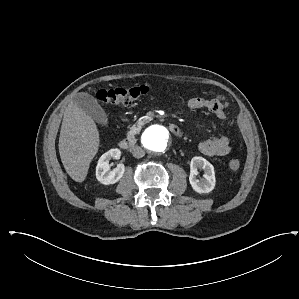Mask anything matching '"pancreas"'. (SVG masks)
Here are the masks:
<instances>
[{"label":"pancreas","mask_w":299,"mask_h":299,"mask_svg":"<svg viewBox=\"0 0 299 299\" xmlns=\"http://www.w3.org/2000/svg\"><path fill=\"white\" fill-rule=\"evenodd\" d=\"M147 122L146 119H142V120H139L137 121L131 128H130V131H128L127 135L128 136H133L135 134H137L142 126Z\"/></svg>","instance_id":"1"}]
</instances>
